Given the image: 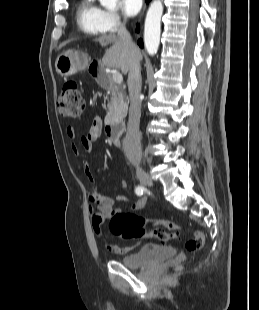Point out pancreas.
<instances>
[{
  "label": "pancreas",
  "instance_id": "cf45deb5",
  "mask_svg": "<svg viewBox=\"0 0 259 310\" xmlns=\"http://www.w3.org/2000/svg\"><path fill=\"white\" fill-rule=\"evenodd\" d=\"M127 107L128 103L125 101L123 94L119 91V87L112 83L111 97L108 102L105 123L114 124L122 122L127 114Z\"/></svg>",
  "mask_w": 259,
  "mask_h": 310
}]
</instances>
